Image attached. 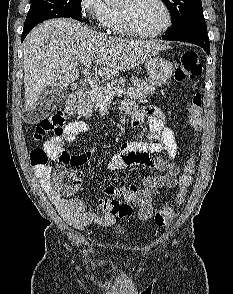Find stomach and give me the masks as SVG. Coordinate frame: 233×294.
<instances>
[{
    "label": "stomach",
    "instance_id": "0dacf381",
    "mask_svg": "<svg viewBox=\"0 0 233 294\" xmlns=\"http://www.w3.org/2000/svg\"><path fill=\"white\" fill-rule=\"evenodd\" d=\"M146 67L149 83L156 87L166 84L174 72L172 64L161 57L148 59Z\"/></svg>",
    "mask_w": 233,
    "mask_h": 294
}]
</instances>
